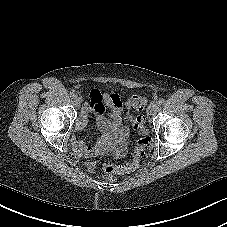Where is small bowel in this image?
Returning a JSON list of instances; mask_svg holds the SVG:
<instances>
[{"label": "small bowel", "mask_w": 227, "mask_h": 227, "mask_svg": "<svg viewBox=\"0 0 227 227\" xmlns=\"http://www.w3.org/2000/svg\"><path fill=\"white\" fill-rule=\"evenodd\" d=\"M87 103L75 125V131L80 132L88 123L91 115L96 116L100 136L94 145H87L72 138L75 153L81 157H90L97 154H113L120 156L125 151L128 128L124 123L123 100L117 94L101 93L92 89ZM106 108L110 109V119L105 116Z\"/></svg>", "instance_id": "obj_1"}]
</instances>
